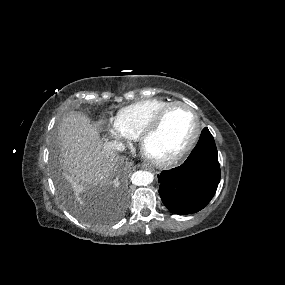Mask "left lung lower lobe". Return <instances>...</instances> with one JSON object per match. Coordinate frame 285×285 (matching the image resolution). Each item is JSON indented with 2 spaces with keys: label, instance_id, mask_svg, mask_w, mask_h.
I'll use <instances>...</instances> for the list:
<instances>
[{
  "label": "left lung lower lobe",
  "instance_id": "left-lung-lower-lobe-1",
  "mask_svg": "<svg viewBox=\"0 0 285 285\" xmlns=\"http://www.w3.org/2000/svg\"><path fill=\"white\" fill-rule=\"evenodd\" d=\"M217 148L208 128L188 159L179 167L162 171L159 194L164 205L175 214H191L203 209L213 198L219 181Z\"/></svg>",
  "mask_w": 285,
  "mask_h": 285
}]
</instances>
